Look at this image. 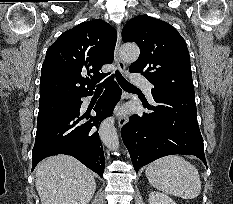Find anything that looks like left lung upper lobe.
Instances as JSON below:
<instances>
[{
  "mask_svg": "<svg viewBox=\"0 0 233 204\" xmlns=\"http://www.w3.org/2000/svg\"><path fill=\"white\" fill-rule=\"evenodd\" d=\"M124 42H135L140 56L130 65V72L142 73L153 85V94L195 97L190 56L186 43L170 24L140 15L122 30Z\"/></svg>",
  "mask_w": 233,
  "mask_h": 204,
  "instance_id": "5c2ea615",
  "label": "left lung upper lobe"
}]
</instances>
